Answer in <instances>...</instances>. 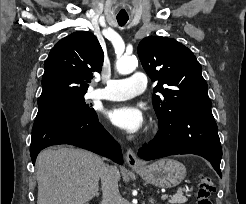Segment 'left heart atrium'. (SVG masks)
Listing matches in <instances>:
<instances>
[{
	"label": "left heart atrium",
	"instance_id": "1",
	"mask_svg": "<svg viewBox=\"0 0 246 204\" xmlns=\"http://www.w3.org/2000/svg\"><path fill=\"white\" fill-rule=\"evenodd\" d=\"M106 117L112 124L128 133L138 132L145 122L142 110L131 104L110 108L106 111Z\"/></svg>",
	"mask_w": 246,
	"mask_h": 204
}]
</instances>
